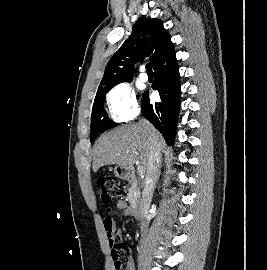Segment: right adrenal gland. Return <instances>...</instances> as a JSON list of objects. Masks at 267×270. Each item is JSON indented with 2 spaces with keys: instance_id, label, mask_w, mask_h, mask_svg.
I'll use <instances>...</instances> for the list:
<instances>
[{
  "instance_id": "right-adrenal-gland-1",
  "label": "right adrenal gland",
  "mask_w": 267,
  "mask_h": 270,
  "mask_svg": "<svg viewBox=\"0 0 267 270\" xmlns=\"http://www.w3.org/2000/svg\"><path fill=\"white\" fill-rule=\"evenodd\" d=\"M161 167H162V162L160 163V167H159V175L161 174Z\"/></svg>"
}]
</instances>
